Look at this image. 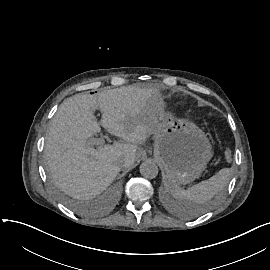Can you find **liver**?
<instances>
[{
    "label": "liver",
    "instance_id": "liver-1",
    "mask_svg": "<svg viewBox=\"0 0 270 270\" xmlns=\"http://www.w3.org/2000/svg\"><path fill=\"white\" fill-rule=\"evenodd\" d=\"M160 90L130 85L98 95L76 94L58 108L46 136L45 158L56 185L69 195L89 199L103 192L120 170L133 164L137 145L152 134L150 120ZM99 108L108 131L124 143L92 147L100 131Z\"/></svg>",
    "mask_w": 270,
    "mask_h": 270
}]
</instances>
